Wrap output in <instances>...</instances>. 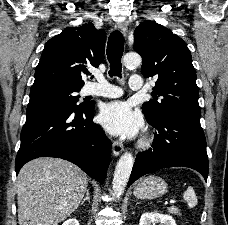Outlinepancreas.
Returning a JSON list of instances; mask_svg holds the SVG:
<instances>
[{"label": "pancreas", "instance_id": "1", "mask_svg": "<svg viewBox=\"0 0 228 225\" xmlns=\"http://www.w3.org/2000/svg\"><path fill=\"white\" fill-rule=\"evenodd\" d=\"M167 211L168 213H171V215H178V217H181L180 209H176V207H169Z\"/></svg>", "mask_w": 228, "mask_h": 225}]
</instances>
